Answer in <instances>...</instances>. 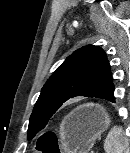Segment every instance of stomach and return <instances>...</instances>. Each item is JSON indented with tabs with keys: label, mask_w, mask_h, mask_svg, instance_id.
Masks as SVG:
<instances>
[{
	"label": "stomach",
	"mask_w": 130,
	"mask_h": 153,
	"mask_svg": "<svg viewBox=\"0 0 130 153\" xmlns=\"http://www.w3.org/2000/svg\"><path fill=\"white\" fill-rule=\"evenodd\" d=\"M110 122L109 114L101 106L87 104L75 109L60 126L62 148L68 153H88Z\"/></svg>",
	"instance_id": "0dacf381"
}]
</instances>
